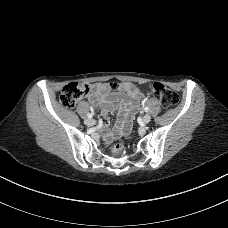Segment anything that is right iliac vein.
<instances>
[{
    "label": "right iliac vein",
    "mask_w": 228,
    "mask_h": 228,
    "mask_svg": "<svg viewBox=\"0 0 228 228\" xmlns=\"http://www.w3.org/2000/svg\"><path fill=\"white\" fill-rule=\"evenodd\" d=\"M84 123L87 126H93L95 124V120H93L92 118H87V119H85Z\"/></svg>",
    "instance_id": "obj_1"
}]
</instances>
